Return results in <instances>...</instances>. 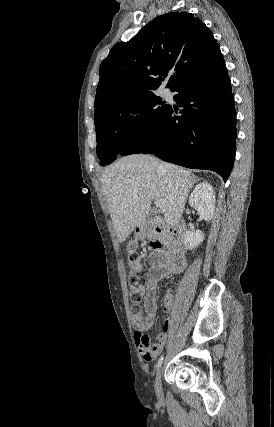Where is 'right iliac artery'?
<instances>
[{
	"instance_id": "82829eb1",
	"label": "right iliac artery",
	"mask_w": 274,
	"mask_h": 427,
	"mask_svg": "<svg viewBox=\"0 0 274 427\" xmlns=\"http://www.w3.org/2000/svg\"><path fill=\"white\" fill-rule=\"evenodd\" d=\"M162 361H163V355L160 357V359L158 360L157 364H156V369L158 370L161 365H162Z\"/></svg>"
}]
</instances>
